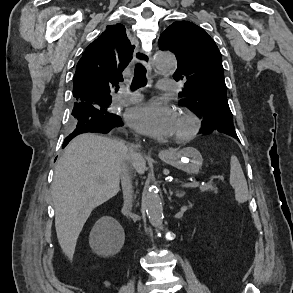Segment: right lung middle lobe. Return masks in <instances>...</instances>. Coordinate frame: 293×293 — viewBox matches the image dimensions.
<instances>
[{"mask_svg":"<svg viewBox=\"0 0 293 293\" xmlns=\"http://www.w3.org/2000/svg\"><path fill=\"white\" fill-rule=\"evenodd\" d=\"M95 103L97 105H95V106L91 105V106H93V107H95V108H97V109H99V110H101V111H103L105 113L110 112V109H109L110 104H111L110 99H97L95 101Z\"/></svg>","mask_w":293,"mask_h":293,"instance_id":"obj_1","label":"right lung middle lobe"}]
</instances>
